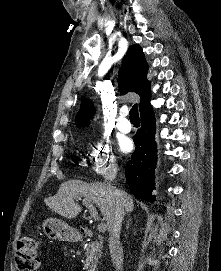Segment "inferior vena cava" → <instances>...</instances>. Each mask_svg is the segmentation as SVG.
<instances>
[{
  "label": "inferior vena cava",
  "instance_id": "inferior-vena-cava-1",
  "mask_svg": "<svg viewBox=\"0 0 221 271\" xmlns=\"http://www.w3.org/2000/svg\"><path fill=\"white\" fill-rule=\"evenodd\" d=\"M123 197L125 195H121L119 191H117V199L114 205L113 217L110 225H108L109 229V251L111 255V261H113V265H115V271H123V263H124V251L122 247V243L120 241V233L122 227L123 217L125 215V207L123 205Z\"/></svg>",
  "mask_w": 221,
  "mask_h": 271
}]
</instances>
